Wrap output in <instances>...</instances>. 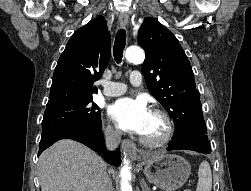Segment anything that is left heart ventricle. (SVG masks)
Returning <instances> with one entry per match:
<instances>
[{
    "mask_svg": "<svg viewBox=\"0 0 251 191\" xmlns=\"http://www.w3.org/2000/svg\"><path fill=\"white\" fill-rule=\"evenodd\" d=\"M163 130L164 126L162 121L151 115L142 134L149 139L157 140L162 135Z\"/></svg>",
    "mask_w": 251,
    "mask_h": 191,
    "instance_id": "obj_1",
    "label": "left heart ventricle"
}]
</instances>
